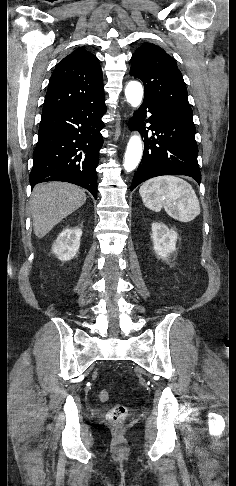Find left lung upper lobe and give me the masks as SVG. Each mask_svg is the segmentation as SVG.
<instances>
[{"mask_svg":"<svg viewBox=\"0 0 236 486\" xmlns=\"http://www.w3.org/2000/svg\"><path fill=\"white\" fill-rule=\"evenodd\" d=\"M130 75L142 80L145 97L172 114L193 121L187 88L173 57L155 44L143 43L131 58Z\"/></svg>","mask_w":236,"mask_h":486,"instance_id":"left-lung-upper-lobe-1","label":"left lung upper lobe"}]
</instances>
